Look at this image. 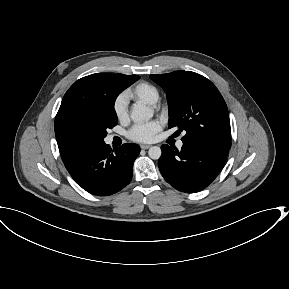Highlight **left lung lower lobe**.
I'll return each mask as SVG.
<instances>
[{
	"instance_id": "obj_1",
	"label": "left lung lower lobe",
	"mask_w": 289,
	"mask_h": 289,
	"mask_svg": "<svg viewBox=\"0 0 289 289\" xmlns=\"http://www.w3.org/2000/svg\"><path fill=\"white\" fill-rule=\"evenodd\" d=\"M158 165L164 179L175 189L195 193L207 187L220 173L229 149L183 141L180 151L164 144Z\"/></svg>"
}]
</instances>
